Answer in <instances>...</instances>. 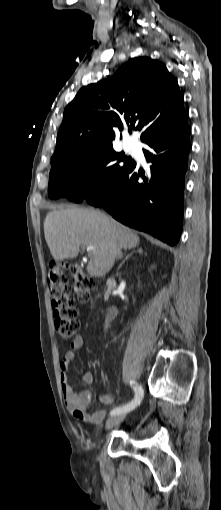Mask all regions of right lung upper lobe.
I'll return each instance as SVG.
<instances>
[{
    "label": "right lung upper lobe",
    "instance_id": "right-lung-upper-lobe-1",
    "mask_svg": "<svg viewBox=\"0 0 221 510\" xmlns=\"http://www.w3.org/2000/svg\"><path fill=\"white\" fill-rule=\"evenodd\" d=\"M176 79L148 57L130 59L108 79L82 87L65 108L51 166L80 149L112 145L124 126L144 128L141 141L187 123Z\"/></svg>",
    "mask_w": 221,
    "mask_h": 510
}]
</instances>
